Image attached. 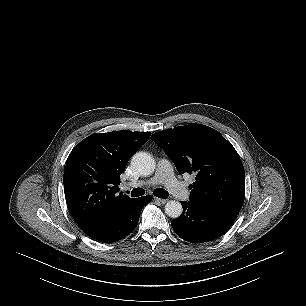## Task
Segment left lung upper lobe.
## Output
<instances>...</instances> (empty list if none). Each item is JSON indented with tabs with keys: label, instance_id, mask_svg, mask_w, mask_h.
I'll return each instance as SVG.
<instances>
[{
	"label": "left lung upper lobe",
	"instance_id": "1",
	"mask_svg": "<svg viewBox=\"0 0 306 306\" xmlns=\"http://www.w3.org/2000/svg\"><path fill=\"white\" fill-rule=\"evenodd\" d=\"M175 163L178 171L194 174L190 201L239 213L244 202L245 173L232 144L218 131L189 124L151 136Z\"/></svg>",
	"mask_w": 306,
	"mask_h": 306
}]
</instances>
